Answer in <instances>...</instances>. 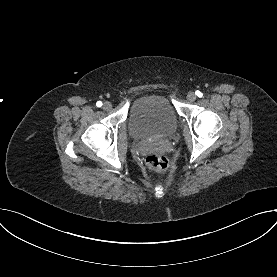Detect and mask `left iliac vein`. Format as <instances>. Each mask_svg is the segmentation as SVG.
Returning <instances> with one entry per match:
<instances>
[{
	"label": "left iliac vein",
	"instance_id": "1",
	"mask_svg": "<svg viewBox=\"0 0 277 277\" xmlns=\"http://www.w3.org/2000/svg\"><path fill=\"white\" fill-rule=\"evenodd\" d=\"M187 99L190 101V102H194L196 100V94L194 92H189L187 94Z\"/></svg>",
	"mask_w": 277,
	"mask_h": 277
}]
</instances>
